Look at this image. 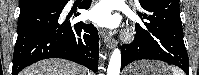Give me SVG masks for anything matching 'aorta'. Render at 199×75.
<instances>
[{"label":"aorta","instance_id":"762f6f07","mask_svg":"<svg viewBox=\"0 0 199 75\" xmlns=\"http://www.w3.org/2000/svg\"><path fill=\"white\" fill-rule=\"evenodd\" d=\"M121 66V52L119 49H115L110 57L107 75H119Z\"/></svg>","mask_w":199,"mask_h":75}]
</instances>
